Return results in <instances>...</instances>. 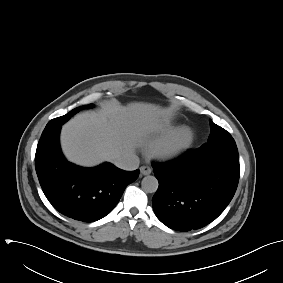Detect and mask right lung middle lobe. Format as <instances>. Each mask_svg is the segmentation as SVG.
<instances>
[{"label":"right lung middle lobe","mask_w":283,"mask_h":283,"mask_svg":"<svg viewBox=\"0 0 283 283\" xmlns=\"http://www.w3.org/2000/svg\"><path fill=\"white\" fill-rule=\"evenodd\" d=\"M93 107V104L90 105H85V106H81L78 108H75L73 110H71L69 113H67L64 116L52 119L51 121L48 122V124L46 125L44 130H48L54 126L57 125H62L63 123H65L71 116H73L74 114H76L77 112H79L80 110L84 109V108H91Z\"/></svg>","instance_id":"dd1d6c3e"}]
</instances>
